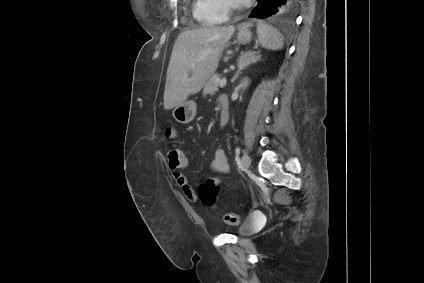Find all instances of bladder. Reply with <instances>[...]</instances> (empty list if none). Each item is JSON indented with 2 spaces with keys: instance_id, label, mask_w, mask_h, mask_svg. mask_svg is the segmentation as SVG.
Listing matches in <instances>:
<instances>
[{
  "instance_id": "bladder-1",
  "label": "bladder",
  "mask_w": 424,
  "mask_h": 283,
  "mask_svg": "<svg viewBox=\"0 0 424 283\" xmlns=\"http://www.w3.org/2000/svg\"><path fill=\"white\" fill-rule=\"evenodd\" d=\"M259 228L260 224L258 220L254 216H248L240 225L237 234L242 237H247L257 232Z\"/></svg>"
}]
</instances>
